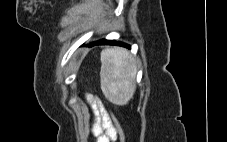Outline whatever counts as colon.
<instances>
[{
	"label": "colon",
	"instance_id": "obj_1",
	"mask_svg": "<svg viewBox=\"0 0 227 142\" xmlns=\"http://www.w3.org/2000/svg\"><path fill=\"white\" fill-rule=\"evenodd\" d=\"M111 120H112V124H113V131H112V135L114 140H118L119 142H123L124 141V135H123V131L121 129V126L119 124V122L117 121V119L111 115Z\"/></svg>",
	"mask_w": 227,
	"mask_h": 142
}]
</instances>
